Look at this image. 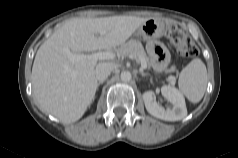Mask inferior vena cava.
I'll list each match as a JSON object with an SVG mask.
<instances>
[{
    "label": "inferior vena cava",
    "mask_w": 238,
    "mask_h": 158,
    "mask_svg": "<svg viewBox=\"0 0 238 158\" xmlns=\"http://www.w3.org/2000/svg\"><path fill=\"white\" fill-rule=\"evenodd\" d=\"M112 72V66L109 63H99L95 69V76L98 81H105Z\"/></svg>",
    "instance_id": "1"
}]
</instances>
